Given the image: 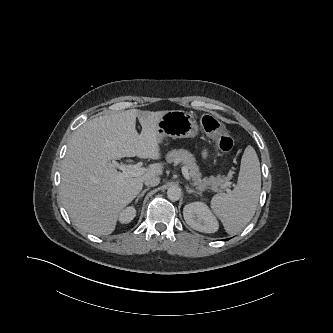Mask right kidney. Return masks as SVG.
<instances>
[{
	"instance_id": "obj_1",
	"label": "right kidney",
	"mask_w": 333,
	"mask_h": 333,
	"mask_svg": "<svg viewBox=\"0 0 333 333\" xmlns=\"http://www.w3.org/2000/svg\"><path fill=\"white\" fill-rule=\"evenodd\" d=\"M136 216V210L133 206H129L125 209H123L119 214V221L122 224H127L131 222L134 217Z\"/></svg>"
}]
</instances>
